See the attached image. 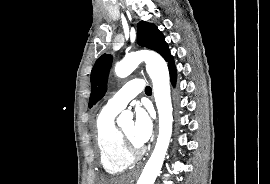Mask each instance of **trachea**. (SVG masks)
<instances>
[{"label":"trachea","instance_id":"1","mask_svg":"<svg viewBox=\"0 0 270 184\" xmlns=\"http://www.w3.org/2000/svg\"><path fill=\"white\" fill-rule=\"evenodd\" d=\"M151 92H152L151 87L147 86L145 89V93H151Z\"/></svg>","mask_w":270,"mask_h":184}]
</instances>
